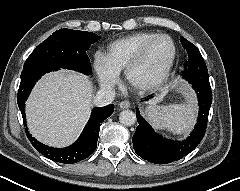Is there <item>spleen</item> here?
<instances>
[{
  "mask_svg": "<svg viewBox=\"0 0 240 191\" xmlns=\"http://www.w3.org/2000/svg\"><path fill=\"white\" fill-rule=\"evenodd\" d=\"M148 118L155 128L167 129L175 134L187 132L193 123V120L185 119L168 107L150 111Z\"/></svg>",
  "mask_w": 240,
  "mask_h": 191,
  "instance_id": "1",
  "label": "spleen"
}]
</instances>
